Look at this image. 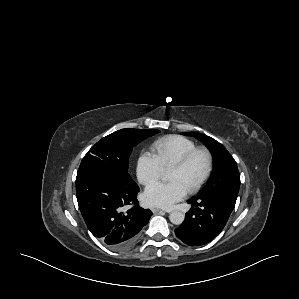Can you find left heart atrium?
<instances>
[{
    "instance_id": "obj_1",
    "label": "left heart atrium",
    "mask_w": 299,
    "mask_h": 299,
    "mask_svg": "<svg viewBox=\"0 0 299 299\" xmlns=\"http://www.w3.org/2000/svg\"><path fill=\"white\" fill-rule=\"evenodd\" d=\"M186 193L187 189L178 181L155 182L145 189L143 201L149 206L169 209L176 202L182 200Z\"/></svg>"
}]
</instances>
